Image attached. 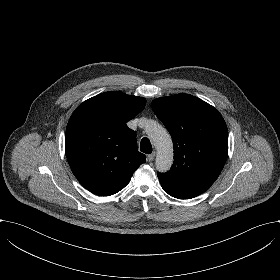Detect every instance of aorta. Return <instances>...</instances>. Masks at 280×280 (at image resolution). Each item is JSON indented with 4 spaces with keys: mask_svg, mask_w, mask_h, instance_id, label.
I'll return each instance as SVG.
<instances>
[{
    "mask_svg": "<svg viewBox=\"0 0 280 280\" xmlns=\"http://www.w3.org/2000/svg\"><path fill=\"white\" fill-rule=\"evenodd\" d=\"M145 131L157 150L156 169L161 172L170 170L173 164V143L167 130L154 120H148Z\"/></svg>",
    "mask_w": 280,
    "mask_h": 280,
    "instance_id": "obj_1",
    "label": "aorta"
}]
</instances>
